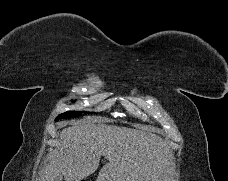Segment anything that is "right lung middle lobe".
I'll list each match as a JSON object with an SVG mask.
<instances>
[{"mask_svg":"<svg viewBox=\"0 0 228 181\" xmlns=\"http://www.w3.org/2000/svg\"><path fill=\"white\" fill-rule=\"evenodd\" d=\"M80 114H81V112H78V111H69V112L58 115L57 118L55 119V121H58L59 119H64V118H71L74 116H78Z\"/></svg>","mask_w":228,"mask_h":181,"instance_id":"obj_1","label":"right lung middle lobe"}]
</instances>
